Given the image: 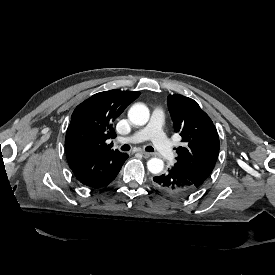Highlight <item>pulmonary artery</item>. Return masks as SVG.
<instances>
[{
    "instance_id": "e3ab8cb5",
    "label": "pulmonary artery",
    "mask_w": 275,
    "mask_h": 275,
    "mask_svg": "<svg viewBox=\"0 0 275 275\" xmlns=\"http://www.w3.org/2000/svg\"><path fill=\"white\" fill-rule=\"evenodd\" d=\"M165 112L162 107L157 106L151 112V125L143 129L136 130L133 135L129 137H121L116 140L117 144L139 143L148 138L150 128L153 130L150 134V139L154 143L156 152L169 160L174 159L175 153L169 149L167 137L162 130L164 123Z\"/></svg>"
}]
</instances>
